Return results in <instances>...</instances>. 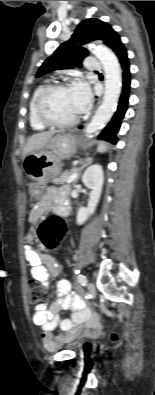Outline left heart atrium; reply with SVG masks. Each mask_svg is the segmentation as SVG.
I'll use <instances>...</instances> for the list:
<instances>
[{"label": "left heart atrium", "instance_id": "obj_1", "mask_svg": "<svg viewBox=\"0 0 155 395\" xmlns=\"http://www.w3.org/2000/svg\"><path fill=\"white\" fill-rule=\"evenodd\" d=\"M72 98L78 114L85 112L91 101L89 86L84 81H77L72 87Z\"/></svg>", "mask_w": 155, "mask_h": 395}]
</instances>
